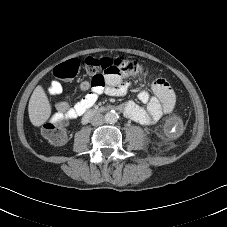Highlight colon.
Instances as JSON below:
<instances>
[{
	"mask_svg": "<svg viewBox=\"0 0 227 227\" xmlns=\"http://www.w3.org/2000/svg\"><path fill=\"white\" fill-rule=\"evenodd\" d=\"M81 65L92 75L94 85H103L105 75L115 76L121 73L142 69V66L134 60L87 55L82 61L78 58H74L56 66L52 71L54 76L53 86L55 88H61V81L75 77ZM67 121L68 115L60 114L57 119L45 125L43 135L50 140H63V128Z\"/></svg>",
	"mask_w": 227,
	"mask_h": 227,
	"instance_id": "5ec220e1",
	"label": "colon"
}]
</instances>
